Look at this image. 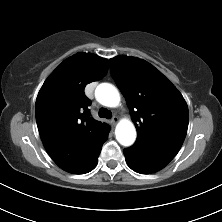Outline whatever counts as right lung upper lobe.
Listing matches in <instances>:
<instances>
[{
	"mask_svg": "<svg viewBox=\"0 0 222 222\" xmlns=\"http://www.w3.org/2000/svg\"><path fill=\"white\" fill-rule=\"evenodd\" d=\"M107 59L77 53L46 79L36 99V122L44 147L60 167L88 161L109 134L110 127L90 117L87 84L103 78Z\"/></svg>",
	"mask_w": 222,
	"mask_h": 222,
	"instance_id": "cb5924a9",
	"label": "right lung upper lobe"
}]
</instances>
